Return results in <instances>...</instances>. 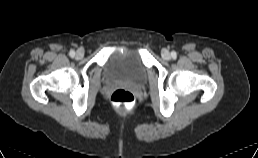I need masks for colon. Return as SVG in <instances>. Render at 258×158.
Segmentation results:
<instances>
[{"mask_svg": "<svg viewBox=\"0 0 258 158\" xmlns=\"http://www.w3.org/2000/svg\"><path fill=\"white\" fill-rule=\"evenodd\" d=\"M110 99L113 104L123 106L125 108H131L135 102V97L132 92L126 89L115 90Z\"/></svg>", "mask_w": 258, "mask_h": 158, "instance_id": "obj_1", "label": "colon"}]
</instances>
